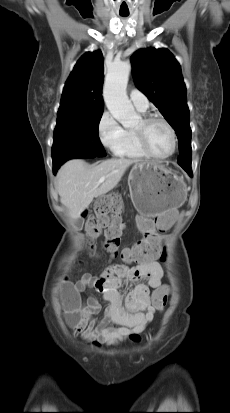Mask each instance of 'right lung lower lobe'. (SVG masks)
I'll return each mask as SVG.
<instances>
[{
	"mask_svg": "<svg viewBox=\"0 0 230 413\" xmlns=\"http://www.w3.org/2000/svg\"><path fill=\"white\" fill-rule=\"evenodd\" d=\"M62 165V164H61ZM60 164H53V172L54 174L57 172L58 168L61 166Z\"/></svg>",
	"mask_w": 230,
	"mask_h": 413,
	"instance_id": "98d812e1",
	"label": "right lung lower lobe"
}]
</instances>
